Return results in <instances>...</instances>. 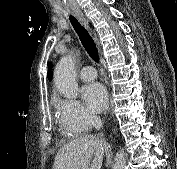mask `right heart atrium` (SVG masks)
Returning a JSON list of instances; mask_svg holds the SVG:
<instances>
[{
  "label": "right heart atrium",
  "mask_w": 177,
  "mask_h": 169,
  "mask_svg": "<svg viewBox=\"0 0 177 169\" xmlns=\"http://www.w3.org/2000/svg\"><path fill=\"white\" fill-rule=\"evenodd\" d=\"M56 109L60 124L71 135L88 130L96 121V117L74 99H58Z\"/></svg>",
  "instance_id": "1"
}]
</instances>
